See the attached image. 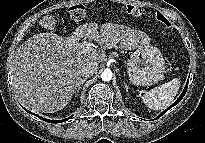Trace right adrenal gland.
<instances>
[{
	"label": "right adrenal gland",
	"instance_id": "right-adrenal-gland-1",
	"mask_svg": "<svg viewBox=\"0 0 205 143\" xmlns=\"http://www.w3.org/2000/svg\"><path fill=\"white\" fill-rule=\"evenodd\" d=\"M86 80H87V78H84V79H81V80H80V82H79V84H78V86H77V92H76L75 96L78 95V93H79V91H80V89H81V86L85 83Z\"/></svg>",
	"mask_w": 205,
	"mask_h": 143
}]
</instances>
